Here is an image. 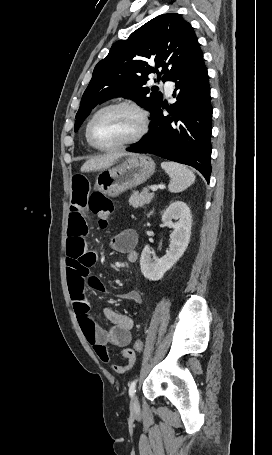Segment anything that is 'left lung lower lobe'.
<instances>
[{"mask_svg": "<svg viewBox=\"0 0 272 455\" xmlns=\"http://www.w3.org/2000/svg\"><path fill=\"white\" fill-rule=\"evenodd\" d=\"M169 81L176 83L170 115L164 116L162 102L151 114L150 130L137 144L127 149L150 153L190 165L202 173L207 182L211 174V118L208 72L203 55L179 70Z\"/></svg>", "mask_w": 272, "mask_h": 455, "instance_id": "0a47b994", "label": "left lung lower lobe"}]
</instances>
